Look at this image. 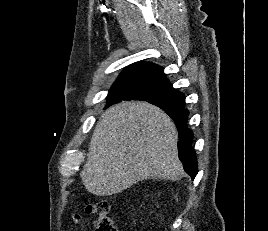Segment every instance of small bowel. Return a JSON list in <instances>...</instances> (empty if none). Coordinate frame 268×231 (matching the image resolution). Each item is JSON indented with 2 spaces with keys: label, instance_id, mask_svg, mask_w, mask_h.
I'll use <instances>...</instances> for the list:
<instances>
[{
  "label": "small bowel",
  "instance_id": "1",
  "mask_svg": "<svg viewBox=\"0 0 268 231\" xmlns=\"http://www.w3.org/2000/svg\"><path fill=\"white\" fill-rule=\"evenodd\" d=\"M85 212L89 213L92 211V207L90 205H87L84 207ZM72 221L76 224L79 225L82 223V217L78 214H73L72 215Z\"/></svg>",
  "mask_w": 268,
  "mask_h": 231
}]
</instances>
